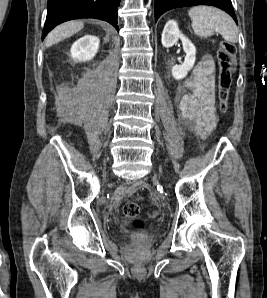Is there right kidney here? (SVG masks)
<instances>
[{"label":"right kidney","mask_w":267,"mask_h":298,"mask_svg":"<svg viewBox=\"0 0 267 298\" xmlns=\"http://www.w3.org/2000/svg\"><path fill=\"white\" fill-rule=\"evenodd\" d=\"M99 43L97 36L85 35L73 43L71 57L80 62L91 60L98 51Z\"/></svg>","instance_id":"1"}]
</instances>
